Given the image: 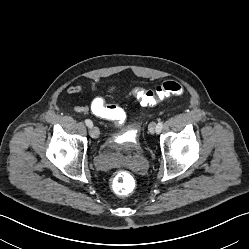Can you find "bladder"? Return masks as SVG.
<instances>
[{
	"mask_svg": "<svg viewBox=\"0 0 249 249\" xmlns=\"http://www.w3.org/2000/svg\"><path fill=\"white\" fill-rule=\"evenodd\" d=\"M110 153L97 161L99 170L105 171L115 166L118 161L127 155H136L143 150V146L135 131L130 126H124L122 130L106 141Z\"/></svg>",
	"mask_w": 249,
	"mask_h": 249,
	"instance_id": "1",
	"label": "bladder"
}]
</instances>
